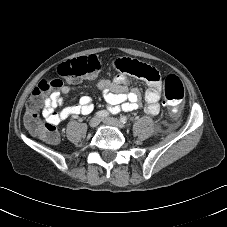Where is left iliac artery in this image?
Masks as SVG:
<instances>
[{
	"mask_svg": "<svg viewBox=\"0 0 227 227\" xmlns=\"http://www.w3.org/2000/svg\"><path fill=\"white\" fill-rule=\"evenodd\" d=\"M127 121H128V118L126 116L123 115V116L120 117L121 123L125 124V123H127Z\"/></svg>",
	"mask_w": 227,
	"mask_h": 227,
	"instance_id": "obj_1",
	"label": "left iliac artery"
}]
</instances>
